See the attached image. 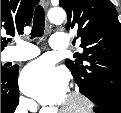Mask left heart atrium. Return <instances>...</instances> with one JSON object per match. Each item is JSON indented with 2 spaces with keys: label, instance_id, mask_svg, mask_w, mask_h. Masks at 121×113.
I'll return each mask as SVG.
<instances>
[{
  "label": "left heart atrium",
  "instance_id": "39dd6f15",
  "mask_svg": "<svg viewBox=\"0 0 121 113\" xmlns=\"http://www.w3.org/2000/svg\"><path fill=\"white\" fill-rule=\"evenodd\" d=\"M20 81L22 90L42 104H59L66 98V73L49 60L40 59L29 64Z\"/></svg>",
  "mask_w": 121,
  "mask_h": 113
}]
</instances>
